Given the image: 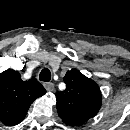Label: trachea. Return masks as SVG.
<instances>
[{"label": "trachea", "mask_w": 130, "mask_h": 130, "mask_svg": "<svg viewBox=\"0 0 130 130\" xmlns=\"http://www.w3.org/2000/svg\"><path fill=\"white\" fill-rule=\"evenodd\" d=\"M39 79L44 82H49L51 79L50 70L48 68H44L39 74Z\"/></svg>", "instance_id": "trachea-1"}]
</instances>
